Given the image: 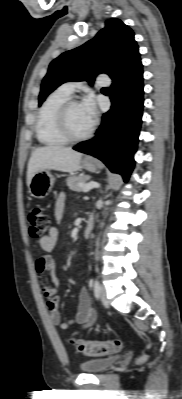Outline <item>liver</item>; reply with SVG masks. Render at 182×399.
<instances>
[{"label": "liver", "mask_w": 182, "mask_h": 399, "mask_svg": "<svg viewBox=\"0 0 182 399\" xmlns=\"http://www.w3.org/2000/svg\"><path fill=\"white\" fill-rule=\"evenodd\" d=\"M82 153L61 146L39 147L31 154L27 169V186L35 173L45 169L75 172L80 168Z\"/></svg>", "instance_id": "liver-1"}]
</instances>
